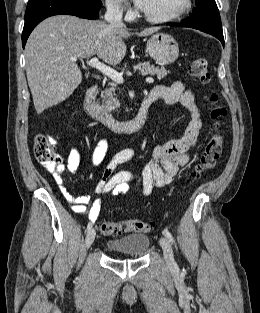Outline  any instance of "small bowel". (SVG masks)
I'll use <instances>...</instances> for the list:
<instances>
[{
	"label": "small bowel",
	"instance_id": "small-bowel-1",
	"mask_svg": "<svg viewBox=\"0 0 260 313\" xmlns=\"http://www.w3.org/2000/svg\"><path fill=\"white\" fill-rule=\"evenodd\" d=\"M147 97H151L153 102L162 101L167 104L180 103L183 105L191 116L185 132L173 141L156 146L152 159L146 163L141 175L130 171L116 172L119 165L136 159L137 152L134 149H124L114 154L106 164L102 176L95 186L97 197L94 199L90 195L73 197L66 189L62 178L64 167H61L55 181L73 212L86 214L90 221L95 222L100 214L102 195H126L139 190L147 196L156 187L170 185L179 170L190 162V152L197 145L201 130L204 128L193 91L185 90L180 81H175L170 86L152 88ZM107 147L106 139L102 138L98 141L91 157L93 166H98L103 161ZM80 161L81 150L79 147H74L68 155L65 168L70 173H76ZM88 204H91L90 208L87 207Z\"/></svg>",
	"mask_w": 260,
	"mask_h": 313
}]
</instances>
